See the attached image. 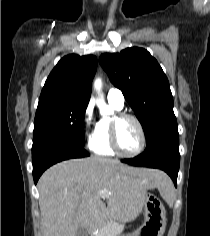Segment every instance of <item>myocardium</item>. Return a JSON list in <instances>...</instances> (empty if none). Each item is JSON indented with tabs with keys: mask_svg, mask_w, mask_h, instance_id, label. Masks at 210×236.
Instances as JSON below:
<instances>
[{
	"mask_svg": "<svg viewBox=\"0 0 210 236\" xmlns=\"http://www.w3.org/2000/svg\"><path fill=\"white\" fill-rule=\"evenodd\" d=\"M124 119L133 120L137 124L139 132H140V145L138 149L132 153L123 152L118 143V126H119V123ZM110 145L113 151L115 152V154L121 157L133 158V157L138 156L144 150L145 145H146V133L140 119L131 113H127V112L116 113L111 118V121H110Z\"/></svg>",
	"mask_w": 210,
	"mask_h": 236,
	"instance_id": "myocardium-1",
	"label": "myocardium"
}]
</instances>
